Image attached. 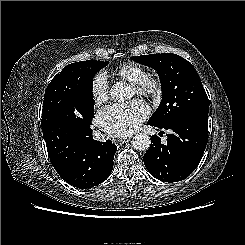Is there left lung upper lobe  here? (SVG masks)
<instances>
[{
  "label": "left lung upper lobe",
  "mask_w": 245,
  "mask_h": 245,
  "mask_svg": "<svg viewBox=\"0 0 245 245\" xmlns=\"http://www.w3.org/2000/svg\"><path fill=\"white\" fill-rule=\"evenodd\" d=\"M133 60L155 69L162 87V101L149 122L175 124L195 113L208 114L209 102L193 65L172 53L149 54Z\"/></svg>",
  "instance_id": "5c2ea615"
}]
</instances>
